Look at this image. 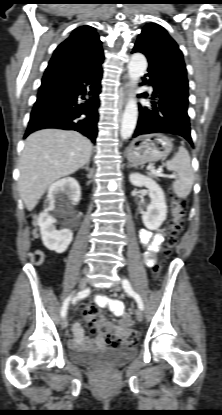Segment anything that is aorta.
I'll return each instance as SVG.
<instances>
[{"mask_svg":"<svg viewBox=\"0 0 222 415\" xmlns=\"http://www.w3.org/2000/svg\"><path fill=\"white\" fill-rule=\"evenodd\" d=\"M146 69V57L141 53H134L128 64V74L132 85H135L138 82L139 78L144 74ZM137 117V103L133 98H130L125 107L121 121L120 135L122 139H128L131 137L136 127Z\"/></svg>","mask_w":222,"mask_h":415,"instance_id":"obj_1","label":"aorta"}]
</instances>
